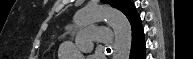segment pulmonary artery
Instances as JSON below:
<instances>
[{
  "instance_id": "pulmonary-artery-1",
  "label": "pulmonary artery",
  "mask_w": 193,
  "mask_h": 59,
  "mask_svg": "<svg viewBox=\"0 0 193 59\" xmlns=\"http://www.w3.org/2000/svg\"><path fill=\"white\" fill-rule=\"evenodd\" d=\"M110 36L102 27L86 26L75 32V42L81 48L92 50V42L99 41L105 43Z\"/></svg>"
}]
</instances>
